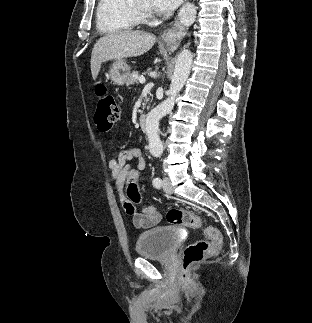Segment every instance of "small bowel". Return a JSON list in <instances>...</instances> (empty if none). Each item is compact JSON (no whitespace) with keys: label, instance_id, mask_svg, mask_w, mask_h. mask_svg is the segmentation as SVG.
I'll return each instance as SVG.
<instances>
[{"label":"small bowel","instance_id":"1","mask_svg":"<svg viewBox=\"0 0 312 323\" xmlns=\"http://www.w3.org/2000/svg\"><path fill=\"white\" fill-rule=\"evenodd\" d=\"M131 158L136 160V163L128 165L126 160ZM146 162L143 152L138 147H130L123 149L119 152L116 158L110 159L108 161V168L111 172V176L115 181L116 189L120 199H125L124 186L126 183L123 182V177L127 174L122 173L123 167H139L140 171L145 169ZM149 214H134L133 224L137 228L148 229L157 225L161 221V215L157 210H146ZM150 211H154V214H150Z\"/></svg>","mask_w":312,"mask_h":323}]
</instances>
